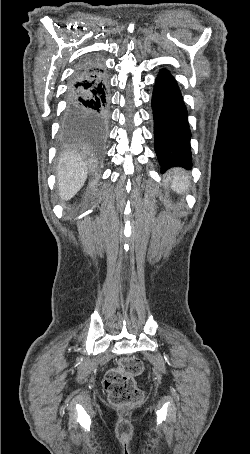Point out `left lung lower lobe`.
I'll use <instances>...</instances> for the list:
<instances>
[{
  "mask_svg": "<svg viewBox=\"0 0 250 454\" xmlns=\"http://www.w3.org/2000/svg\"><path fill=\"white\" fill-rule=\"evenodd\" d=\"M155 152L161 172L172 167L192 168L188 113L173 76L161 70L152 96Z\"/></svg>",
  "mask_w": 250,
  "mask_h": 454,
  "instance_id": "obj_1",
  "label": "left lung lower lobe"
}]
</instances>
